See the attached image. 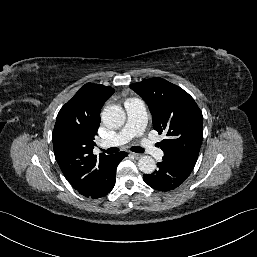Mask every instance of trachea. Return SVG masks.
<instances>
[{
    "instance_id": "trachea-1",
    "label": "trachea",
    "mask_w": 257,
    "mask_h": 257,
    "mask_svg": "<svg viewBox=\"0 0 257 257\" xmlns=\"http://www.w3.org/2000/svg\"><path fill=\"white\" fill-rule=\"evenodd\" d=\"M131 151L133 152H136V153H143L144 152V149L142 147H139V146H132L130 148ZM102 151L108 153V154H113V153H117L119 151V148L117 147H111V148H108L107 150H103Z\"/></svg>"
}]
</instances>
